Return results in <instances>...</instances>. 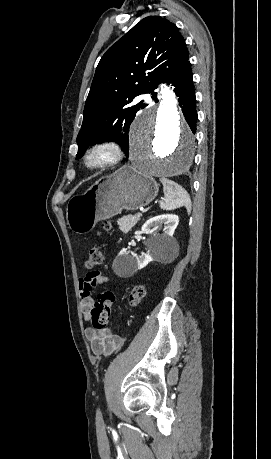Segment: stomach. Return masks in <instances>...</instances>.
<instances>
[{"mask_svg":"<svg viewBox=\"0 0 271 459\" xmlns=\"http://www.w3.org/2000/svg\"><path fill=\"white\" fill-rule=\"evenodd\" d=\"M151 176L122 166L111 176L99 178L85 194L73 196L66 208L68 226L74 233H88L99 220H108L121 210H138L155 200L159 188Z\"/></svg>","mask_w":271,"mask_h":459,"instance_id":"stomach-1","label":"stomach"}]
</instances>
